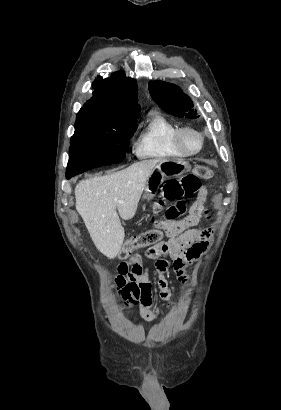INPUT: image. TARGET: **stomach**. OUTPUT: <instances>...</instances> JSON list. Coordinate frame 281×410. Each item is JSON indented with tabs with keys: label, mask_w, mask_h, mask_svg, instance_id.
<instances>
[{
	"label": "stomach",
	"mask_w": 281,
	"mask_h": 410,
	"mask_svg": "<svg viewBox=\"0 0 281 410\" xmlns=\"http://www.w3.org/2000/svg\"><path fill=\"white\" fill-rule=\"evenodd\" d=\"M190 170V165L180 159H161L152 170L145 185L144 198H153L158 187L166 178L180 176Z\"/></svg>",
	"instance_id": "1"
}]
</instances>
